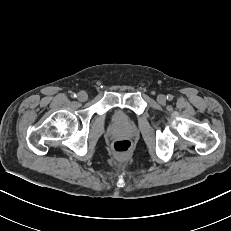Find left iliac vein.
I'll return each instance as SVG.
<instances>
[{"mask_svg":"<svg viewBox=\"0 0 231 231\" xmlns=\"http://www.w3.org/2000/svg\"><path fill=\"white\" fill-rule=\"evenodd\" d=\"M157 101H158L160 104L165 103V102H166V96L163 95V94L158 95Z\"/></svg>","mask_w":231,"mask_h":231,"instance_id":"4c4485c4","label":"left iliac vein"}]
</instances>
